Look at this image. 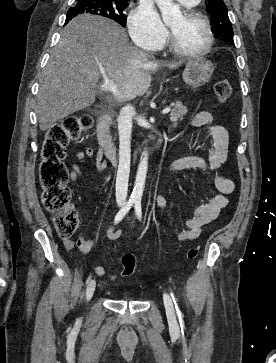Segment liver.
Returning a JSON list of instances; mask_svg holds the SVG:
<instances>
[{"instance_id": "liver-1", "label": "liver", "mask_w": 276, "mask_h": 363, "mask_svg": "<svg viewBox=\"0 0 276 363\" xmlns=\"http://www.w3.org/2000/svg\"><path fill=\"white\" fill-rule=\"evenodd\" d=\"M181 64L150 61L145 52L128 43L125 29L114 21L79 15L63 29L41 73L37 95L40 130L91 106L103 75L117 85L119 99H132L147 92L151 72Z\"/></svg>"}]
</instances>
